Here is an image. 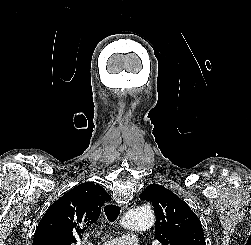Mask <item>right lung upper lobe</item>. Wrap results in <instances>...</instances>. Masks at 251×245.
<instances>
[{"mask_svg": "<svg viewBox=\"0 0 251 245\" xmlns=\"http://www.w3.org/2000/svg\"><path fill=\"white\" fill-rule=\"evenodd\" d=\"M111 199L99 184L82 183L55 201L44 214L32 245H70L94 224Z\"/></svg>", "mask_w": 251, "mask_h": 245, "instance_id": "right-lung-upper-lobe-1", "label": "right lung upper lobe"}]
</instances>
